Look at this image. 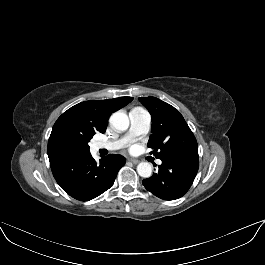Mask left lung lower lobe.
<instances>
[{
    "label": "left lung lower lobe",
    "instance_id": "left-lung-lower-lobe-1",
    "mask_svg": "<svg viewBox=\"0 0 265 265\" xmlns=\"http://www.w3.org/2000/svg\"><path fill=\"white\" fill-rule=\"evenodd\" d=\"M157 173L142 181L145 188L164 200L182 197L192 185L199 168L198 154L169 155L163 158Z\"/></svg>",
    "mask_w": 265,
    "mask_h": 265
}]
</instances>
